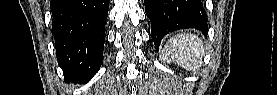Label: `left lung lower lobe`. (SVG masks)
<instances>
[{"label":"left lung lower lobe","mask_w":277,"mask_h":95,"mask_svg":"<svg viewBox=\"0 0 277 95\" xmlns=\"http://www.w3.org/2000/svg\"><path fill=\"white\" fill-rule=\"evenodd\" d=\"M144 3L156 50L169 32L186 28L207 32V15L201 0H144Z\"/></svg>","instance_id":"1"}]
</instances>
